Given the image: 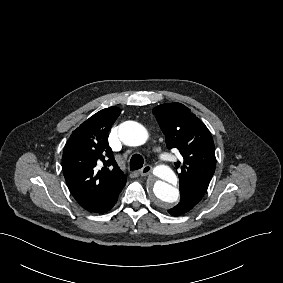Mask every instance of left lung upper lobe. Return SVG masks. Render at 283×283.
<instances>
[{
  "instance_id": "1",
  "label": "left lung upper lobe",
  "mask_w": 283,
  "mask_h": 283,
  "mask_svg": "<svg viewBox=\"0 0 283 283\" xmlns=\"http://www.w3.org/2000/svg\"><path fill=\"white\" fill-rule=\"evenodd\" d=\"M166 138L167 148H177L183 162L180 190L192 189L205 194L215 172L216 158L213 138L205 124L181 103L162 104L153 109Z\"/></svg>"
}]
</instances>
